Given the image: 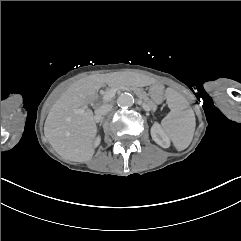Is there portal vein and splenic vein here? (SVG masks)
I'll return each instance as SVG.
<instances>
[{"label":"portal vein and splenic vein","mask_w":241,"mask_h":241,"mask_svg":"<svg viewBox=\"0 0 241 241\" xmlns=\"http://www.w3.org/2000/svg\"><path fill=\"white\" fill-rule=\"evenodd\" d=\"M117 90H118L117 88L111 89L109 92H107L104 95L103 99L105 101H110L115 96ZM70 110L75 114H79L80 116H85V113H86V108L75 109L72 107Z\"/></svg>","instance_id":"portal-vein-and-splenic-vein-1"}]
</instances>
